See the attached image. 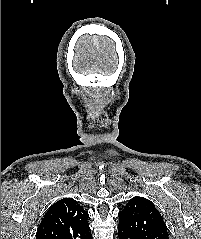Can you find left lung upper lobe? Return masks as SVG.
Segmentation results:
<instances>
[{
  "label": "left lung upper lobe",
  "mask_w": 201,
  "mask_h": 239,
  "mask_svg": "<svg viewBox=\"0 0 201 239\" xmlns=\"http://www.w3.org/2000/svg\"><path fill=\"white\" fill-rule=\"evenodd\" d=\"M119 226L136 234L140 239H169L166 224L154 204L143 198L130 199L118 213Z\"/></svg>",
  "instance_id": "obj_1"
}]
</instances>
